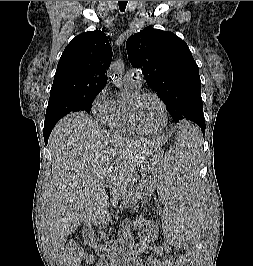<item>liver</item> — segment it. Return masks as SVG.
Here are the masks:
<instances>
[{
    "mask_svg": "<svg viewBox=\"0 0 253 266\" xmlns=\"http://www.w3.org/2000/svg\"><path fill=\"white\" fill-rule=\"evenodd\" d=\"M165 142L112 135L83 112L71 113L56 124L48 141L52 170L41 219L54 259L82 223L105 220L109 205L117 206L146 157ZM104 179H108L110 204Z\"/></svg>",
    "mask_w": 253,
    "mask_h": 266,
    "instance_id": "6515ba94",
    "label": "liver"
}]
</instances>
